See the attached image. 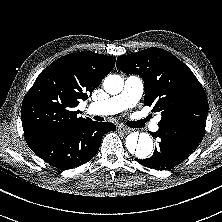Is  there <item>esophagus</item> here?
<instances>
[{"label":"esophagus","mask_w":222,"mask_h":222,"mask_svg":"<svg viewBox=\"0 0 222 222\" xmlns=\"http://www.w3.org/2000/svg\"><path fill=\"white\" fill-rule=\"evenodd\" d=\"M118 131L123 134H129L132 132V129L125 126H118Z\"/></svg>","instance_id":"esophagus-1"}]
</instances>
